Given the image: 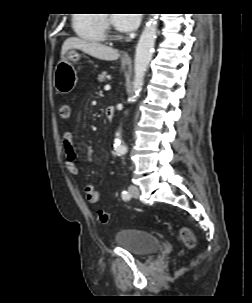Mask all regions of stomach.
I'll return each instance as SVG.
<instances>
[{
	"instance_id": "1",
	"label": "stomach",
	"mask_w": 252,
	"mask_h": 303,
	"mask_svg": "<svg viewBox=\"0 0 252 303\" xmlns=\"http://www.w3.org/2000/svg\"><path fill=\"white\" fill-rule=\"evenodd\" d=\"M81 55L74 49L69 50L65 56L58 62L54 73V87L61 94L70 93L78 81L77 71L73 63H76ZM123 65L128 62L122 61Z\"/></svg>"
}]
</instances>
